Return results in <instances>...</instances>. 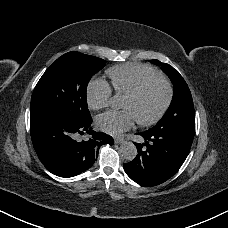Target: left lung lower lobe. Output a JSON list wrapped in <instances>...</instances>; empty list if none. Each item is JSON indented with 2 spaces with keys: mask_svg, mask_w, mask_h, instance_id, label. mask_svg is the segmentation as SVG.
<instances>
[{
  "mask_svg": "<svg viewBox=\"0 0 228 228\" xmlns=\"http://www.w3.org/2000/svg\"><path fill=\"white\" fill-rule=\"evenodd\" d=\"M143 143H134L138 154L124 164L127 175L143 186H156L171 178L184 163L193 133L151 128L139 133Z\"/></svg>",
  "mask_w": 228,
  "mask_h": 228,
  "instance_id": "0a47b994",
  "label": "left lung lower lobe"
}]
</instances>
